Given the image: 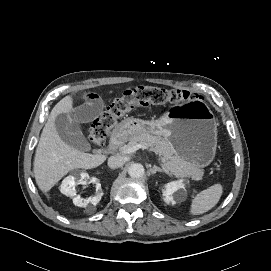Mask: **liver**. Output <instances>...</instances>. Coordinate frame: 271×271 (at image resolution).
I'll return each mask as SVG.
<instances>
[{"label": "liver", "mask_w": 271, "mask_h": 271, "mask_svg": "<svg viewBox=\"0 0 271 271\" xmlns=\"http://www.w3.org/2000/svg\"><path fill=\"white\" fill-rule=\"evenodd\" d=\"M73 98L66 96L52 109L43 128L34 158V175L39 189L46 193L74 169H92L106 160L105 155L84 153L66 144L54 128L60 113H71Z\"/></svg>", "instance_id": "liver-1"}]
</instances>
